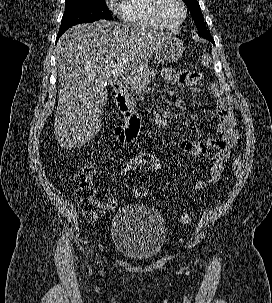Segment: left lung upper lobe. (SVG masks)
I'll return each mask as SVG.
<instances>
[{
  "instance_id": "obj_1",
  "label": "left lung upper lobe",
  "mask_w": 272,
  "mask_h": 303,
  "mask_svg": "<svg viewBox=\"0 0 272 303\" xmlns=\"http://www.w3.org/2000/svg\"><path fill=\"white\" fill-rule=\"evenodd\" d=\"M183 1L186 3L189 11L191 12L193 20L198 29V35L206 39L212 38L205 26L203 15L201 13L198 1L197 0H183Z\"/></svg>"
}]
</instances>
